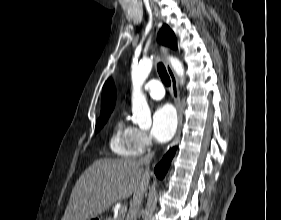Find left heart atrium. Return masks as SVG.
Listing matches in <instances>:
<instances>
[{
    "label": "left heart atrium",
    "mask_w": 281,
    "mask_h": 220,
    "mask_svg": "<svg viewBox=\"0 0 281 220\" xmlns=\"http://www.w3.org/2000/svg\"><path fill=\"white\" fill-rule=\"evenodd\" d=\"M176 128L177 116L174 109L169 105L158 107L153 115L152 137L160 143H165L173 137Z\"/></svg>",
    "instance_id": "39dd6f15"
}]
</instances>
